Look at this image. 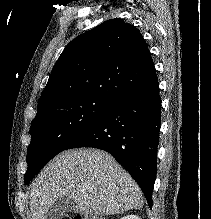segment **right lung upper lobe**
<instances>
[{"label": "right lung upper lobe", "instance_id": "1", "mask_svg": "<svg viewBox=\"0 0 211 219\" xmlns=\"http://www.w3.org/2000/svg\"><path fill=\"white\" fill-rule=\"evenodd\" d=\"M155 75L140 32L122 19L107 20L66 46L38 101L36 117L76 98L100 97L115 102Z\"/></svg>", "mask_w": 211, "mask_h": 219}]
</instances>
